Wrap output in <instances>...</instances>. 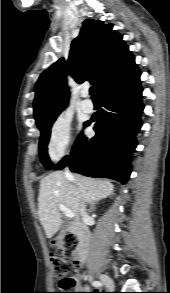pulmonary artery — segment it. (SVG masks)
<instances>
[{"label":"pulmonary artery","mask_w":170,"mask_h":293,"mask_svg":"<svg viewBox=\"0 0 170 293\" xmlns=\"http://www.w3.org/2000/svg\"><path fill=\"white\" fill-rule=\"evenodd\" d=\"M88 91L85 90L81 93L82 97L84 98L81 102V108L84 112L90 113L94 109L93 103L88 99Z\"/></svg>","instance_id":"pulmonary-artery-1"}]
</instances>
